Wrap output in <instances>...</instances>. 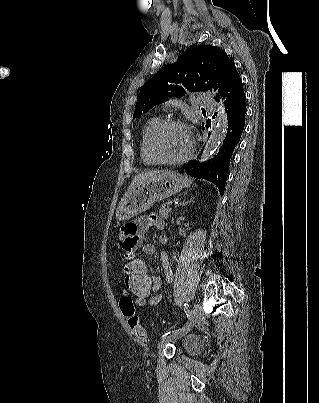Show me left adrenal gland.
<instances>
[{
    "mask_svg": "<svg viewBox=\"0 0 319 403\" xmlns=\"http://www.w3.org/2000/svg\"><path fill=\"white\" fill-rule=\"evenodd\" d=\"M186 203H188V202H183V203H180L179 205H184V204H186Z\"/></svg>",
    "mask_w": 319,
    "mask_h": 403,
    "instance_id": "obj_1",
    "label": "left adrenal gland"
}]
</instances>
